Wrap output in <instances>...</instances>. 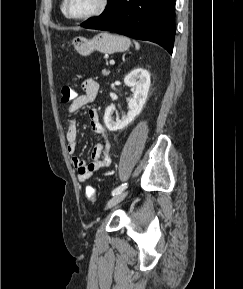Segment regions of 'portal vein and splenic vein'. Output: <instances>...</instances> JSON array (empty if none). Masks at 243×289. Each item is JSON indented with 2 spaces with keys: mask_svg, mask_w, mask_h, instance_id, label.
<instances>
[{
  "mask_svg": "<svg viewBox=\"0 0 243 289\" xmlns=\"http://www.w3.org/2000/svg\"><path fill=\"white\" fill-rule=\"evenodd\" d=\"M110 64H111V65H114V64H115V61H114V60H110Z\"/></svg>",
  "mask_w": 243,
  "mask_h": 289,
  "instance_id": "1",
  "label": "portal vein and splenic vein"
}]
</instances>
